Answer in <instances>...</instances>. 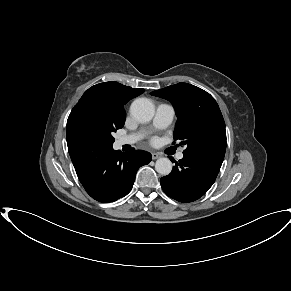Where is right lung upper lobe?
Instances as JSON below:
<instances>
[{
	"label": "right lung upper lobe",
	"mask_w": 291,
	"mask_h": 291,
	"mask_svg": "<svg viewBox=\"0 0 291 291\" xmlns=\"http://www.w3.org/2000/svg\"><path fill=\"white\" fill-rule=\"evenodd\" d=\"M144 89H133L117 82H105L92 86L81 97L75 107L83 104L105 107L110 111L125 115L124 105L142 94Z\"/></svg>",
	"instance_id": "cb5924a9"
}]
</instances>
